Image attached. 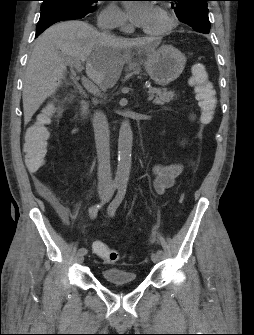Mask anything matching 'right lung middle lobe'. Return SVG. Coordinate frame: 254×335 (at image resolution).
<instances>
[{
    "label": "right lung middle lobe",
    "instance_id": "right-lung-middle-lobe-1",
    "mask_svg": "<svg viewBox=\"0 0 254 335\" xmlns=\"http://www.w3.org/2000/svg\"><path fill=\"white\" fill-rule=\"evenodd\" d=\"M41 11L53 8L62 7L78 12L79 14L87 15L94 12L96 3L99 0H42Z\"/></svg>",
    "mask_w": 254,
    "mask_h": 335
}]
</instances>
